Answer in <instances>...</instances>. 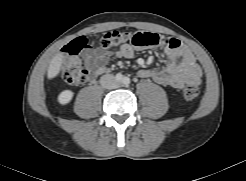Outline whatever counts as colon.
Here are the masks:
<instances>
[{
	"mask_svg": "<svg viewBox=\"0 0 246 181\" xmlns=\"http://www.w3.org/2000/svg\"><path fill=\"white\" fill-rule=\"evenodd\" d=\"M99 43L103 48L117 47L127 43L137 48H149L167 45L169 44V38L153 32L140 31L130 33L113 30L104 34ZM86 47V37L79 36L64 49L63 58L59 65V73L71 85L79 86L88 81V70L79 56ZM183 94L187 100H194L200 95V89L195 84H189L184 88Z\"/></svg>",
	"mask_w": 246,
	"mask_h": 181,
	"instance_id": "5ec220e1",
	"label": "colon"
}]
</instances>
